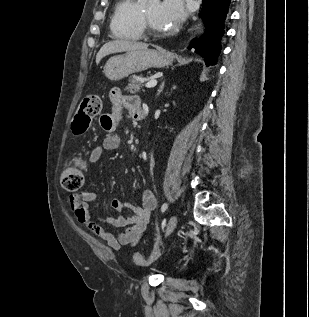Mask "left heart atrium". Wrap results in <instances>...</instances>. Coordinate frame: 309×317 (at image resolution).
Returning a JSON list of instances; mask_svg holds the SVG:
<instances>
[{
	"instance_id": "obj_1",
	"label": "left heart atrium",
	"mask_w": 309,
	"mask_h": 317,
	"mask_svg": "<svg viewBox=\"0 0 309 317\" xmlns=\"http://www.w3.org/2000/svg\"><path fill=\"white\" fill-rule=\"evenodd\" d=\"M184 0H163L159 9V21L165 30L175 29L184 19Z\"/></svg>"
}]
</instances>
